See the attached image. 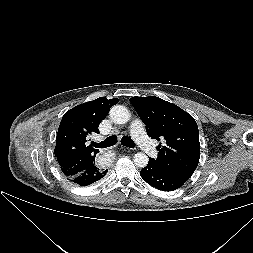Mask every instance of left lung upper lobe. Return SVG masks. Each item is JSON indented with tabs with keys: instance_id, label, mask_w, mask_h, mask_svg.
Wrapping results in <instances>:
<instances>
[{
	"instance_id": "1",
	"label": "left lung upper lobe",
	"mask_w": 253,
	"mask_h": 253,
	"mask_svg": "<svg viewBox=\"0 0 253 253\" xmlns=\"http://www.w3.org/2000/svg\"><path fill=\"white\" fill-rule=\"evenodd\" d=\"M130 102L146 125L152 139H164L157 147V159L150 160L165 172L186 182L200 158L198 126L180 107L155 96L132 97Z\"/></svg>"
}]
</instances>
